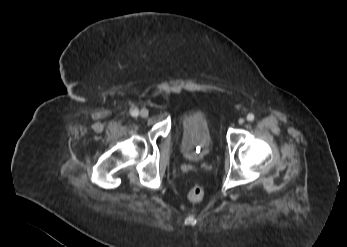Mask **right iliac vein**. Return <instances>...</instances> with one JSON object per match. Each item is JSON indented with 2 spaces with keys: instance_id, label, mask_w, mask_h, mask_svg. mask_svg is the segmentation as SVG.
I'll return each instance as SVG.
<instances>
[{
  "instance_id": "obj_1",
  "label": "right iliac vein",
  "mask_w": 347,
  "mask_h": 247,
  "mask_svg": "<svg viewBox=\"0 0 347 247\" xmlns=\"http://www.w3.org/2000/svg\"><path fill=\"white\" fill-rule=\"evenodd\" d=\"M148 114H149V111L145 108L141 109L140 113H139L140 117H142V118H146L148 116Z\"/></svg>"
}]
</instances>
